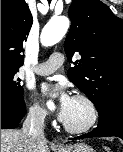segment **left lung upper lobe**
<instances>
[{
	"label": "left lung upper lobe",
	"mask_w": 123,
	"mask_h": 152,
	"mask_svg": "<svg viewBox=\"0 0 123 152\" xmlns=\"http://www.w3.org/2000/svg\"><path fill=\"white\" fill-rule=\"evenodd\" d=\"M71 28L64 49L70 62L67 74L95 104L123 99V21L99 0H73L69 8Z\"/></svg>",
	"instance_id": "1"
}]
</instances>
